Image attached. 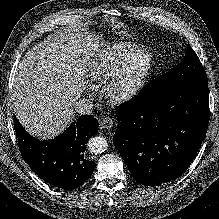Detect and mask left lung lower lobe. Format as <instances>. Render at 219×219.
<instances>
[{"mask_svg":"<svg viewBox=\"0 0 219 219\" xmlns=\"http://www.w3.org/2000/svg\"><path fill=\"white\" fill-rule=\"evenodd\" d=\"M113 143L133 178L156 186L181 176L204 140L209 123L208 84L137 97L116 108Z\"/></svg>","mask_w":219,"mask_h":219,"instance_id":"1","label":"left lung lower lobe"}]
</instances>
